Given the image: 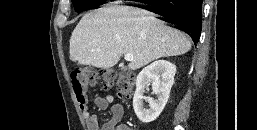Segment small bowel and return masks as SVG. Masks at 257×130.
Listing matches in <instances>:
<instances>
[{"mask_svg": "<svg viewBox=\"0 0 257 130\" xmlns=\"http://www.w3.org/2000/svg\"><path fill=\"white\" fill-rule=\"evenodd\" d=\"M77 101L88 130H132L126 124H120L124 116V107L119 103H114L111 95L95 97V105L99 110H106L110 106V118L102 126L99 125L97 117L90 113L87 98L85 97L83 101L77 99Z\"/></svg>", "mask_w": 257, "mask_h": 130, "instance_id": "small-bowel-1", "label": "small bowel"}]
</instances>
